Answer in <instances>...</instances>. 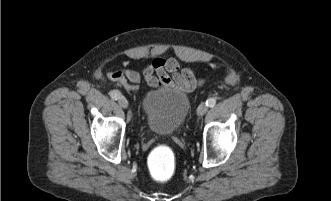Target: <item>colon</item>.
<instances>
[{"label": "colon", "mask_w": 331, "mask_h": 201, "mask_svg": "<svg viewBox=\"0 0 331 201\" xmlns=\"http://www.w3.org/2000/svg\"><path fill=\"white\" fill-rule=\"evenodd\" d=\"M174 169V155L168 147L160 146L151 152L149 170L153 179L159 182H165L172 177Z\"/></svg>", "instance_id": "1"}]
</instances>
